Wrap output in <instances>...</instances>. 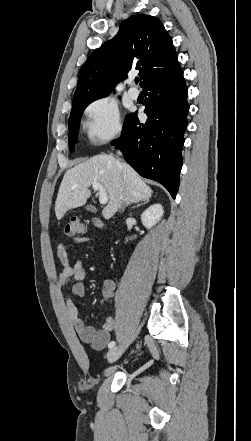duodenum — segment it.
I'll use <instances>...</instances> for the list:
<instances>
[{
    "label": "duodenum",
    "mask_w": 251,
    "mask_h": 441,
    "mask_svg": "<svg viewBox=\"0 0 251 441\" xmlns=\"http://www.w3.org/2000/svg\"><path fill=\"white\" fill-rule=\"evenodd\" d=\"M94 222H95V224L97 225V226H102L103 224H102V222L99 220V219H94Z\"/></svg>",
    "instance_id": "410a0bca"
}]
</instances>
